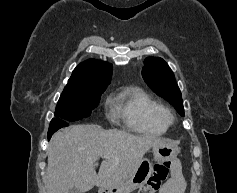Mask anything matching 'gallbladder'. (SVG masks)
I'll use <instances>...</instances> for the list:
<instances>
[{"instance_id":"bac80fb5","label":"gallbladder","mask_w":237,"mask_h":193,"mask_svg":"<svg viewBox=\"0 0 237 193\" xmlns=\"http://www.w3.org/2000/svg\"><path fill=\"white\" fill-rule=\"evenodd\" d=\"M68 193H81L77 188H71Z\"/></svg>"}]
</instances>
